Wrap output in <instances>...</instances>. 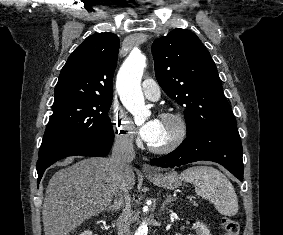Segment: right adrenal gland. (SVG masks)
Returning <instances> with one entry per match:
<instances>
[{"instance_id":"1","label":"right adrenal gland","mask_w":283,"mask_h":235,"mask_svg":"<svg viewBox=\"0 0 283 235\" xmlns=\"http://www.w3.org/2000/svg\"><path fill=\"white\" fill-rule=\"evenodd\" d=\"M121 201L120 199L114 200L113 204H111L108 208V210H118L121 207Z\"/></svg>"}]
</instances>
